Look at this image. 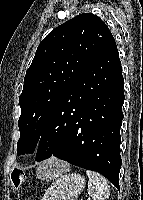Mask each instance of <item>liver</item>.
<instances>
[{"mask_svg":"<svg viewBox=\"0 0 143 200\" xmlns=\"http://www.w3.org/2000/svg\"><path fill=\"white\" fill-rule=\"evenodd\" d=\"M56 165L59 167L56 171L50 168V165ZM68 167L67 163L57 160L56 158L52 157L49 160L42 163V165L37 169V177L39 179H51L52 177L56 176L57 174L61 173L65 168Z\"/></svg>","mask_w":143,"mask_h":200,"instance_id":"6515ba94","label":"liver"}]
</instances>
